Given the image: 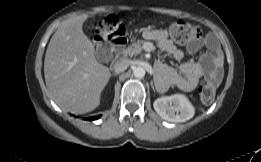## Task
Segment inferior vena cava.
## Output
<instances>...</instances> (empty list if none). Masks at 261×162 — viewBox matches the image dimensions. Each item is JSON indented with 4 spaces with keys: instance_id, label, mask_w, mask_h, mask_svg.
I'll return each instance as SVG.
<instances>
[{
    "instance_id": "1",
    "label": "inferior vena cava",
    "mask_w": 261,
    "mask_h": 162,
    "mask_svg": "<svg viewBox=\"0 0 261 162\" xmlns=\"http://www.w3.org/2000/svg\"><path fill=\"white\" fill-rule=\"evenodd\" d=\"M129 65H130V60L123 58L115 63V65L113 66V70L115 71L116 74H118L125 71Z\"/></svg>"
}]
</instances>
